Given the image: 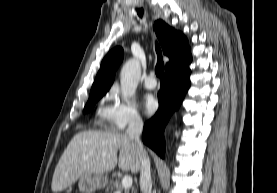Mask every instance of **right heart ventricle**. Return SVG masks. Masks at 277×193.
I'll list each match as a JSON object with an SVG mask.
<instances>
[{
    "label": "right heart ventricle",
    "instance_id": "right-heart-ventricle-1",
    "mask_svg": "<svg viewBox=\"0 0 277 193\" xmlns=\"http://www.w3.org/2000/svg\"><path fill=\"white\" fill-rule=\"evenodd\" d=\"M110 110H111L110 106H108L107 104H102L98 109V114L100 115V117L107 120Z\"/></svg>",
    "mask_w": 277,
    "mask_h": 193
}]
</instances>
